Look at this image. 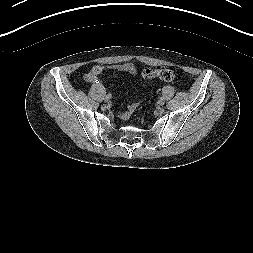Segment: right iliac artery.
Segmentation results:
<instances>
[{
    "instance_id": "82829eb1",
    "label": "right iliac artery",
    "mask_w": 253,
    "mask_h": 253,
    "mask_svg": "<svg viewBox=\"0 0 253 253\" xmlns=\"http://www.w3.org/2000/svg\"><path fill=\"white\" fill-rule=\"evenodd\" d=\"M106 97H110V94H108Z\"/></svg>"
}]
</instances>
